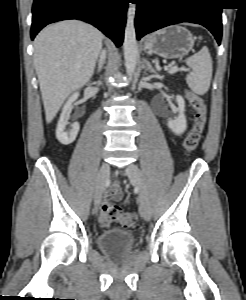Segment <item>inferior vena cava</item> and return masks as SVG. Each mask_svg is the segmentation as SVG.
<instances>
[{
  "mask_svg": "<svg viewBox=\"0 0 246 300\" xmlns=\"http://www.w3.org/2000/svg\"><path fill=\"white\" fill-rule=\"evenodd\" d=\"M105 58V52H102V55L100 56V63H99V68L101 67V65L103 64V60Z\"/></svg>",
  "mask_w": 246,
  "mask_h": 300,
  "instance_id": "inferior-vena-cava-1",
  "label": "inferior vena cava"
}]
</instances>
